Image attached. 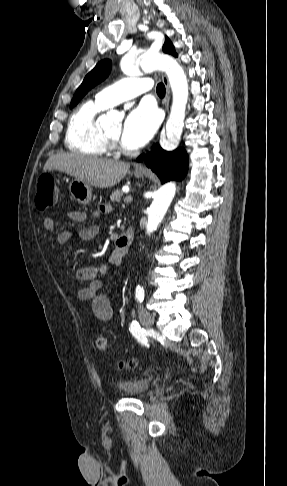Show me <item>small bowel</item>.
Returning a JSON list of instances; mask_svg holds the SVG:
<instances>
[{
  "label": "small bowel",
  "mask_w": 287,
  "mask_h": 486,
  "mask_svg": "<svg viewBox=\"0 0 287 486\" xmlns=\"http://www.w3.org/2000/svg\"><path fill=\"white\" fill-rule=\"evenodd\" d=\"M110 210L111 208L108 205H103L91 213V218L98 219L102 214L108 213ZM67 217L74 222L81 223L87 220L88 215L85 211L75 210L69 211ZM43 226L47 231L56 233V243L60 247H64L74 236L84 241H90L99 234V227L97 225L82 227L77 230H58L53 219L50 217L44 218ZM123 258L124 255H118L114 250L106 264L81 267L75 272V278L77 280L88 282L87 286L78 290V298L80 300H92L94 315L100 321H109L113 316V308L109 298L101 293L103 284L97 277L105 274L110 268L119 266Z\"/></svg>",
  "instance_id": "c3829d8e"
}]
</instances>
